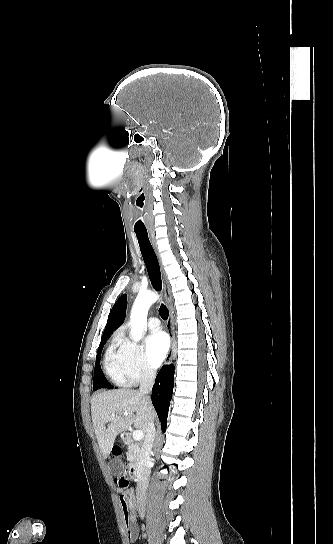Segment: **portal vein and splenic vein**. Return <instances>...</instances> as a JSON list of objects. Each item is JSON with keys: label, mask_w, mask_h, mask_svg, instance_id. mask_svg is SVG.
<instances>
[{"label": "portal vein and splenic vein", "mask_w": 333, "mask_h": 544, "mask_svg": "<svg viewBox=\"0 0 333 544\" xmlns=\"http://www.w3.org/2000/svg\"><path fill=\"white\" fill-rule=\"evenodd\" d=\"M122 415L127 416L128 413H123ZM113 416H114V414H113ZM132 436H133V438L135 440H141L144 437V433H143L142 430H135V431H133Z\"/></svg>", "instance_id": "18ae733b"}]
</instances>
